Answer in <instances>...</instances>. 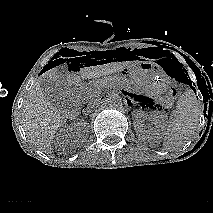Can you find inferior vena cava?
I'll list each match as a JSON object with an SVG mask.
<instances>
[{"label":"inferior vena cava","mask_w":213,"mask_h":213,"mask_svg":"<svg viewBox=\"0 0 213 213\" xmlns=\"http://www.w3.org/2000/svg\"><path fill=\"white\" fill-rule=\"evenodd\" d=\"M90 112H91V109H90V108H88V109H87V113H90Z\"/></svg>","instance_id":"602c4592"}]
</instances>
